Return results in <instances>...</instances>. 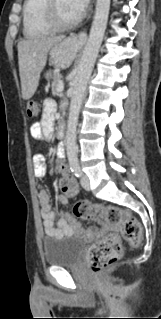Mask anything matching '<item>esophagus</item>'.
Wrapping results in <instances>:
<instances>
[{"mask_svg": "<svg viewBox=\"0 0 161 319\" xmlns=\"http://www.w3.org/2000/svg\"><path fill=\"white\" fill-rule=\"evenodd\" d=\"M77 38L81 42H85L87 39V34L84 31H81L77 34Z\"/></svg>", "mask_w": 161, "mask_h": 319, "instance_id": "obj_1", "label": "esophagus"}]
</instances>
